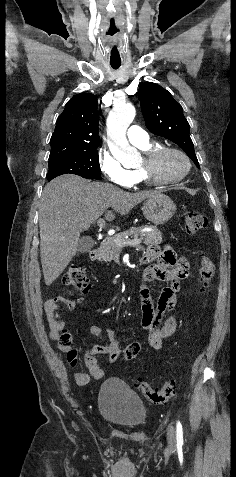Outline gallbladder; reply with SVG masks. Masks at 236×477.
<instances>
[{
  "mask_svg": "<svg viewBox=\"0 0 236 477\" xmlns=\"http://www.w3.org/2000/svg\"><path fill=\"white\" fill-rule=\"evenodd\" d=\"M93 246H94L93 239L89 236H86L79 240L78 251L80 253H87L93 248Z\"/></svg>",
  "mask_w": 236,
  "mask_h": 477,
  "instance_id": "obj_1",
  "label": "gallbladder"
}]
</instances>
